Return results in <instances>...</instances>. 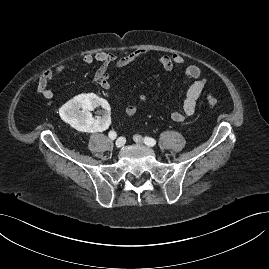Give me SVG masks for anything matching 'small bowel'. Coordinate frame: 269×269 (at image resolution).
<instances>
[{"label": "small bowel", "mask_w": 269, "mask_h": 269, "mask_svg": "<svg viewBox=\"0 0 269 269\" xmlns=\"http://www.w3.org/2000/svg\"><path fill=\"white\" fill-rule=\"evenodd\" d=\"M150 55L148 49H137L125 56H119L113 53L104 51L95 54H86L82 57L79 64L89 65L93 62L100 63V67L94 74L95 83L103 90H109L111 83L109 81V72L112 68H121L131 65L138 60ZM158 64L165 70H170L174 66H185L186 60L179 54L161 55L157 58ZM68 65L61 64L53 69H46L40 76L37 82L36 90L45 99H52L54 92L48 88L49 83L58 75L68 70ZM201 69L197 65H188L185 68V76L191 81L185 99L183 101L182 109L173 111L171 117L177 123H184L195 114L197 101L207 85V80L201 77ZM142 103H147L145 95L140 96ZM125 113L128 116H134L137 113V106L129 104L125 107ZM110 127V126H109ZM107 130V129H106Z\"/></svg>", "instance_id": "small-bowel-1"}]
</instances>
